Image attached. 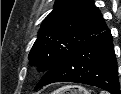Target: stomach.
I'll use <instances>...</instances> for the list:
<instances>
[{
    "label": "stomach",
    "mask_w": 121,
    "mask_h": 94,
    "mask_svg": "<svg viewBox=\"0 0 121 94\" xmlns=\"http://www.w3.org/2000/svg\"><path fill=\"white\" fill-rule=\"evenodd\" d=\"M52 94H91L90 91L78 85H67L54 91Z\"/></svg>",
    "instance_id": "1"
}]
</instances>
